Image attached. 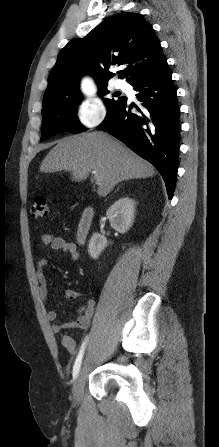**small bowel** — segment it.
<instances>
[{
  "instance_id": "1",
  "label": "small bowel",
  "mask_w": 219,
  "mask_h": 447,
  "mask_svg": "<svg viewBox=\"0 0 219 447\" xmlns=\"http://www.w3.org/2000/svg\"><path fill=\"white\" fill-rule=\"evenodd\" d=\"M41 243L44 246H50L54 251L69 253L73 261L79 259L80 254L77 245L73 241L52 234H44L41 236ZM47 266V259L40 258L37 260L36 268L39 292L44 298H47L49 293L48 281L44 275V270ZM64 295L67 301H73L83 296V294L76 289H66ZM94 311L95 300L93 298H87L85 304L78 309L79 316L73 321L66 323L57 322V312L55 310H49L46 314V318L51 323V330L54 333H59L63 329H87L91 323ZM61 343L69 353H76V343L70 336H62Z\"/></svg>"
}]
</instances>
